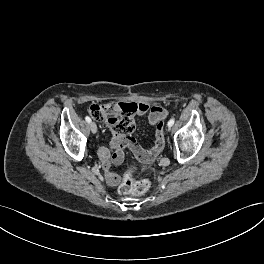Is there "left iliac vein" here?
<instances>
[{
  "mask_svg": "<svg viewBox=\"0 0 264 264\" xmlns=\"http://www.w3.org/2000/svg\"><path fill=\"white\" fill-rule=\"evenodd\" d=\"M167 130H168V131H170V130H171V127H170V126H168Z\"/></svg>",
  "mask_w": 264,
  "mask_h": 264,
  "instance_id": "1",
  "label": "left iliac vein"
}]
</instances>
